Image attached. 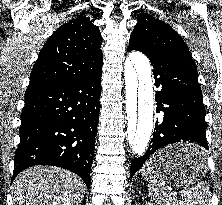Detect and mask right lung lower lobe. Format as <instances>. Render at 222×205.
I'll list each match as a JSON object with an SVG mask.
<instances>
[{
  "label": "right lung lower lobe",
  "mask_w": 222,
  "mask_h": 205,
  "mask_svg": "<svg viewBox=\"0 0 222 205\" xmlns=\"http://www.w3.org/2000/svg\"><path fill=\"white\" fill-rule=\"evenodd\" d=\"M101 76L102 69L80 80L26 90L12 181L28 167L53 165L79 175L90 188Z\"/></svg>",
  "instance_id": "obj_1"
}]
</instances>
